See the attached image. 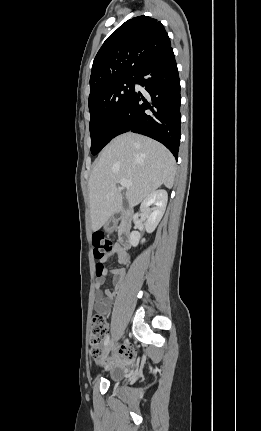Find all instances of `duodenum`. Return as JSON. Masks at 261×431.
Returning a JSON list of instances; mask_svg holds the SVG:
<instances>
[{"label": "duodenum", "mask_w": 261, "mask_h": 431, "mask_svg": "<svg viewBox=\"0 0 261 431\" xmlns=\"http://www.w3.org/2000/svg\"><path fill=\"white\" fill-rule=\"evenodd\" d=\"M131 217H132L131 211L125 210L123 212V217L119 225V240H120V244L124 248H129L130 242H131V239H130ZM107 225L109 227L113 226L114 220L111 219Z\"/></svg>", "instance_id": "410a0bca"}]
</instances>
